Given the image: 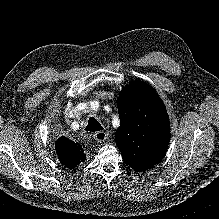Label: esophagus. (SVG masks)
Segmentation results:
<instances>
[{
    "label": "esophagus",
    "instance_id": "obj_1",
    "mask_svg": "<svg viewBox=\"0 0 219 219\" xmlns=\"http://www.w3.org/2000/svg\"><path fill=\"white\" fill-rule=\"evenodd\" d=\"M108 133L105 131H98L94 134V139L99 142L102 143L107 139Z\"/></svg>",
    "mask_w": 219,
    "mask_h": 219
}]
</instances>
